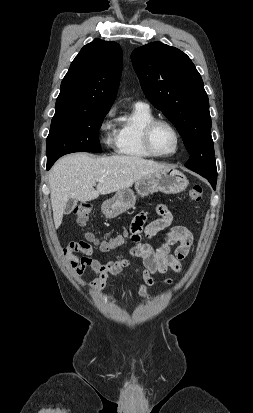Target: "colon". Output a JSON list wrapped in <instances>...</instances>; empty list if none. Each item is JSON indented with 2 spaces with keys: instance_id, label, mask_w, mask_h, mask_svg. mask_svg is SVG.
Wrapping results in <instances>:
<instances>
[{
  "instance_id": "5ec220e1",
  "label": "colon",
  "mask_w": 253,
  "mask_h": 413,
  "mask_svg": "<svg viewBox=\"0 0 253 413\" xmlns=\"http://www.w3.org/2000/svg\"><path fill=\"white\" fill-rule=\"evenodd\" d=\"M203 189L200 185H194L189 189L188 196L193 201H199L202 197ZM91 205L89 203H82L74 209L77 222L84 226L89 220L91 214ZM87 239L97 245L100 250L108 252L116 249L124 243L125 236L118 235L108 240H100L96 238L92 233L87 234Z\"/></svg>"
}]
</instances>
